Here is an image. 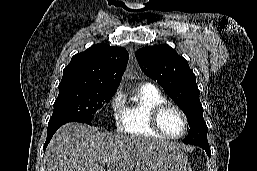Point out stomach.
<instances>
[{"label": "stomach", "mask_w": 257, "mask_h": 171, "mask_svg": "<svg viewBox=\"0 0 257 171\" xmlns=\"http://www.w3.org/2000/svg\"><path fill=\"white\" fill-rule=\"evenodd\" d=\"M135 171H192L186 154L177 147L161 146L146 151Z\"/></svg>", "instance_id": "stomach-1"}]
</instances>
